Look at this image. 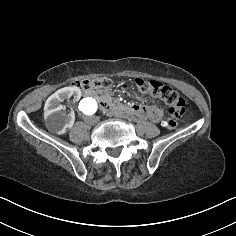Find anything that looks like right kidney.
<instances>
[{"mask_svg": "<svg viewBox=\"0 0 236 236\" xmlns=\"http://www.w3.org/2000/svg\"><path fill=\"white\" fill-rule=\"evenodd\" d=\"M81 91L76 86L65 87L49 97L44 108V125L47 130L64 134L75 121L73 108L78 104Z\"/></svg>", "mask_w": 236, "mask_h": 236, "instance_id": "obj_1", "label": "right kidney"}]
</instances>
